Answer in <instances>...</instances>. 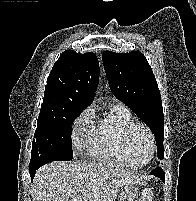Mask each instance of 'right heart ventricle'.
Returning a JSON list of instances; mask_svg holds the SVG:
<instances>
[{
    "mask_svg": "<svg viewBox=\"0 0 196 201\" xmlns=\"http://www.w3.org/2000/svg\"><path fill=\"white\" fill-rule=\"evenodd\" d=\"M135 122L124 106L116 105L91 127L88 152L96 160L117 166H129L124 149L123 134L126 127Z\"/></svg>",
    "mask_w": 196,
    "mask_h": 201,
    "instance_id": "e07e8e85",
    "label": "right heart ventricle"
}]
</instances>
